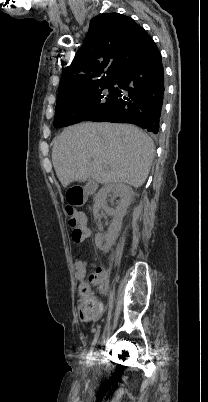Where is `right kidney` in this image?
I'll return each instance as SVG.
<instances>
[{
    "mask_svg": "<svg viewBox=\"0 0 208 402\" xmlns=\"http://www.w3.org/2000/svg\"><path fill=\"white\" fill-rule=\"evenodd\" d=\"M108 194H115L120 198L116 210L113 208H108L107 198ZM132 188L126 186V184H119V182H113V184H105L98 194L95 196V204L93 206V216L94 220H98L100 210H105L108 216H113L114 224L109 228V234L105 236L106 242L108 244H103V236L101 234H96L95 244L99 250H108L112 246L114 240H116L122 226V220L126 214L128 206L132 202Z\"/></svg>",
    "mask_w": 208,
    "mask_h": 402,
    "instance_id": "obj_1",
    "label": "right kidney"
}]
</instances>
